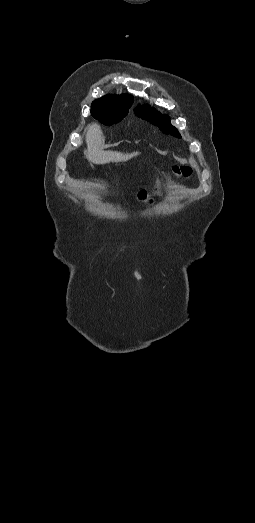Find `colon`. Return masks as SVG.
<instances>
[{
	"mask_svg": "<svg viewBox=\"0 0 255 523\" xmlns=\"http://www.w3.org/2000/svg\"><path fill=\"white\" fill-rule=\"evenodd\" d=\"M192 173V170L189 166H175L172 168L170 175L174 177H189ZM149 192L146 190H141L138 194L140 200L146 201L149 198Z\"/></svg>",
	"mask_w": 255,
	"mask_h": 523,
	"instance_id": "5ec220e1",
	"label": "colon"
}]
</instances>
